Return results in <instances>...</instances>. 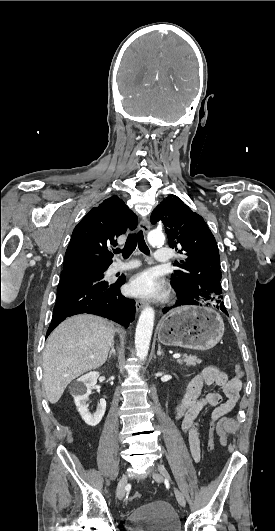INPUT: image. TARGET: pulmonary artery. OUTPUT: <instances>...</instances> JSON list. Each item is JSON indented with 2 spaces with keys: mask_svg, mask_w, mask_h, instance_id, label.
Returning <instances> with one entry per match:
<instances>
[{
  "mask_svg": "<svg viewBox=\"0 0 275 531\" xmlns=\"http://www.w3.org/2000/svg\"><path fill=\"white\" fill-rule=\"evenodd\" d=\"M153 256L156 265H165L169 261L170 253L166 249H157L154 251ZM136 266H138L137 262H115L109 268V273L113 276L119 271L135 268Z\"/></svg>",
  "mask_w": 275,
  "mask_h": 531,
  "instance_id": "obj_1",
  "label": "pulmonary artery"
}]
</instances>
